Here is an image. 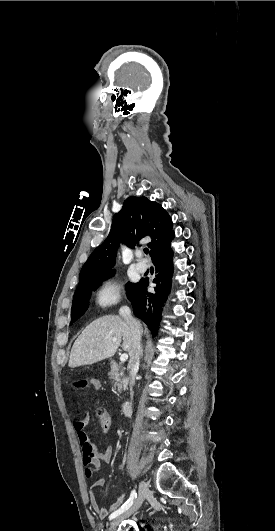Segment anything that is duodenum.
Wrapping results in <instances>:
<instances>
[{"instance_id":"410a0bca","label":"duodenum","mask_w":275,"mask_h":531,"mask_svg":"<svg viewBox=\"0 0 275 531\" xmlns=\"http://www.w3.org/2000/svg\"><path fill=\"white\" fill-rule=\"evenodd\" d=\"M109 364H110V368L112 371L116 372L119 370V364L114 359H110ZM131 408H132V402L130 399H127L121 404V411L123 415L129 414L131 411Z\"/></svg>"}]
</instances>
